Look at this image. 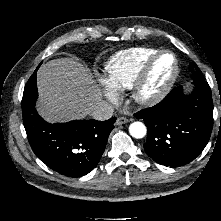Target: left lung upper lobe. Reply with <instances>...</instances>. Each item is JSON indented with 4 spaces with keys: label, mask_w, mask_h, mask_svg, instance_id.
Masks as SVG:
<instances>
[{
    "label": "left lung upper lobe",
    "mask_w": 221,
    "mask_h": 221,
    "mask_svg": "<svg viewBox=\"0 0 221 221\" xmlns=\"http://www.w3.org/2000/svg\"><path fill=\"white\" fill-rule=\"evenodd\" d=\"M190 68L191 69H195V72L193 73V78L194 79H198V78H203L204 76H203V74L199 71V69H198V67H197V65L195 64V63H191L190 64Z\"/></svg>",
    "instance_id": "5c2ea615"
}]
</instances>
